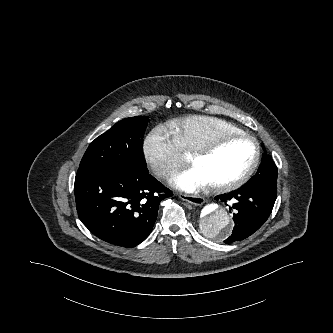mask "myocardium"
<instances>
[{
  "label": "myocardium",
  "mask_w": 333,
  "mask_h": 333,
  "mask_svg": "<svg viewBox=\"0 0 333 333\" xmlns=\"http://www.w3.org/2000/svg\"><path fill=\"white\" fill-rule=\"evenodd\" d=\"M235 139H244L251 141L255 146V155L252 160L250 166L236 179L222 183V184H213L209 185L208 188L216 193H223L235 190L241 186H243L254 174L255 170L257 169L260 157H261V146L259 141L254 137L247 133H224L219 134L212 139L208 140L207 142L200 145L198 148L193 150L190 155V163L193 164L194 160L197 158L205 157L213 152L220 144L225 141L235 140Z\"/></svg>",
  "instance_id": "obj_1"
}]
</instances>
